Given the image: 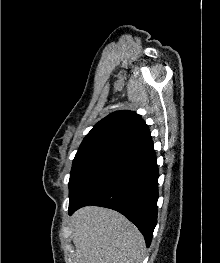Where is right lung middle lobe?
<instances>
[{"label": "right lung middle lobe", "mask_w": 220, "mask_h": 263, "mask_svg": "<svg viewBox=\"0 0 220 263\" xmlns=\"http://www.w3.org/2000/svg\"><path fill=\"white\" fill-rule=\"evenodd\" d=\"M119 152L113 150L78 151L69 180V204L75 202L96 173Z\"/></svg>", "instance_id": "obj_1"}]
</instances>
